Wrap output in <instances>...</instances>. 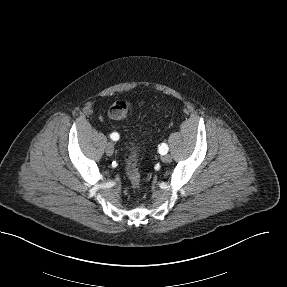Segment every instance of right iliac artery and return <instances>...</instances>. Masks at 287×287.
Masks as SVG:
<instances>
[{
	"instance_id": "obj_1",
	"label": "right iliac artery",
	"mask_w": 287,
	"mask_h": 287,
	"mask_svg": "<svg viewBox=\"0 0 287 287\" xmlns=\"http://www.w3.org/2000/svg\"><path fill=\"white\" fill-rule=\"evenodd\" d=\"M110 137L113 141H117L119 139V134L117 132H113Z\"/></svg>"
}]
</instances>
